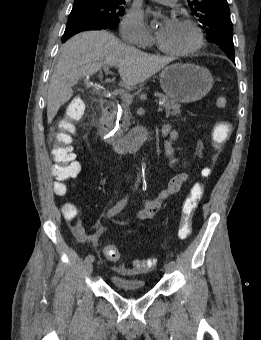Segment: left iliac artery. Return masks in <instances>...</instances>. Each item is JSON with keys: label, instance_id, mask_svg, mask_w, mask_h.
I'll return each mask as SVG.
<instances>
[{"label": "left iliac artery", "instance_id": "1", "mask_svg": "<svg viewBox=\"0 0 261 340\" xmlns=\"http://www.w3.org/2000/svg\"><path fill=\"white\" fill-rule=\"evenodd\" d=\"M168 264H170L172 266H175L176 262H175V260L171 259V260H169Z\"/></svg>", "mask_w": 261, "mask_h": 340}]
</instances>
